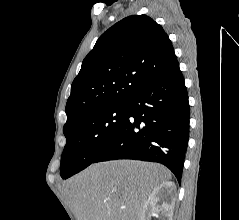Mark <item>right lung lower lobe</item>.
Masks as SVG:
<instances>
[{
    "label": "right lung lower lobe",
    "instance_id": "obj_1",
    "mask_svg": "<svg viewBox=\"0 0 239 220\" xmlns=\"http://www.w3.org/2000/svg\"><path fill=\"white\" fill-rule=\"evenodd\" d=\"M123 125L93 163L158 162L181 182L189 135L188 95L178 61L131 96Z\"/></svg>",
    "mask_w": 239,
    "mask_h": 220
}]
</instances>
